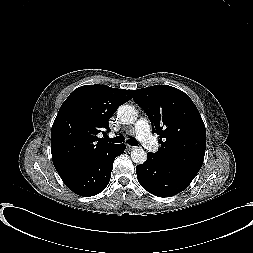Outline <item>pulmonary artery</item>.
I'll return each instance as SVG.
<instances>
[{"label":"pulmonary artery","mask_w":253,"mask_h":253,"mask_svg":"<svg viewBox=\"0 0 253 253\" xmlns=\"http://www.w3.org/2000/svg\"><path fill=\"white\" fill-rule=\"evenodd\" d=\"M131 133L135 134L138 140L144 145V147L150 151H157L158 144L154 141L151 133L149 123L145 118L139 119Z\"/></svg>","instance_id":"1"}]
</instances>
